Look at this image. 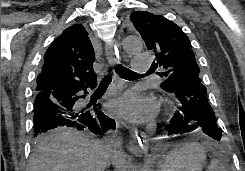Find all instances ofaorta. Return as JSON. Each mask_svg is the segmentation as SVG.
I'll list each match as a JSON object with an SVG mask.
<instances>
[{
  "instance_id": "1",
  "label": "aorta",
  "mask_w": 245,
  "mask_h": 171,
  "mask_svg": "<svg viewBox=\"0 0 245 171\" xmlns=\"http://www.w3.org/2000/svg\"><path fill=\"white\" fill-rule=\"evenodd\" d=\"M122 45L127 53H137L142 50L143 42L139 37L128 36L123 40Z\"/></svg>"
}]
</instances>
